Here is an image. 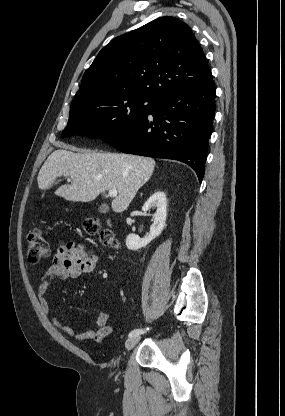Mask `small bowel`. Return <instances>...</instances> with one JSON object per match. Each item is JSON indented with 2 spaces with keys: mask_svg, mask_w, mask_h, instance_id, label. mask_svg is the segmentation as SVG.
I'll use <instances>...</instances> for the list:
<instances>
[{
  "mask_svg": "<svg viewBox=\"0 0 285 416\" xmlns=\"http://www.w3.org/2000/svg\"><path fill=\"white\" fill-rule=\"evenodd\" d=\"M97 261V255L93 250L84 245L71 241L61 244L52 264L41 275L37 298L41 310L57 330L79 341L94 340L100 343L113 332V327L108 324V313L99 312L94 326L76 330L53 314L47 300V292L52 282L89 274L94 270Z\"/></svg>",
  "mask_w": 285,
  "mask_h": 416,
  "instance_id": "small-bowel-1",
  "label": "small bowel"
}]
</instances>
